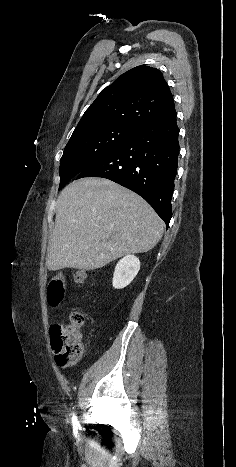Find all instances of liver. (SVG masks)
I'll use <instances>...</instances> for the list:
<instances>
[{"mask_svg": "<svg viewBox=\"0 0 236 467\" xmlns=\"http://www.w3.org/2000/svg\"><path fill=\"white\" fill-rule=\"evenodd\" d=\"M164 223L139 195L104 178L62 190L46 258L50 271L94 270L126 254L150 251Z\"/></svg>", "mask_w": 236, "mask_h": 467, "instance_id": "1", "label": "liver"}]
</instances>
